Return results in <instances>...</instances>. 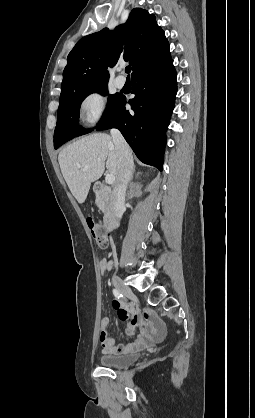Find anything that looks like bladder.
<instances>
[{
	"label": "bladder",
	"mask_w": 255,
	"mask_h": 418,
	"mask_svg": "<svg viewBox=\"0 0 255 418\" xmlns=\"http://www.w3.org/2000/svg\"><path fill=\"white\" fill-rule=\"evenodd\" d=\"M139 358L138 353H129L123 355H103L100 357V364L107 368H124L134 362Z\"/></svg>",
	"instance_id": "bladder-1"
}]
</instances>
